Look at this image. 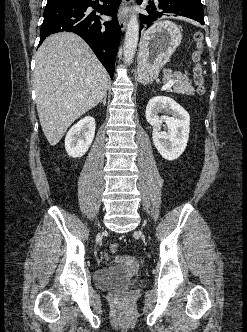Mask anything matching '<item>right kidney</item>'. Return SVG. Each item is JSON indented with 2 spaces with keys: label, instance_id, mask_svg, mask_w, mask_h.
<instances>
[{
  "label": "right kidney",
  "instance_id": "1",
  "mask_svg": "<svg viewBox=\"0 0 247 332\" xmlns=\"http://www.w3.org/2000/svg\"><path fill=\"white\" fill-rule=\"evenodd\" d=\"M95 136V119L86 116L73 125L65 137V149L73 158L82 157L89 149Z\"/></svg>",
  "mask_w": 247,
  "mask_h": 332
}]
</instances>
